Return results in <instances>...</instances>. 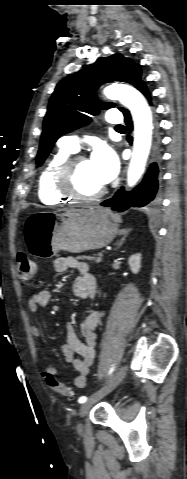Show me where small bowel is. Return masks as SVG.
Listing matches in <instances>:
<instances>
[{
  "label": "small bowel",
  "mask_w": 187,
  "mask_h": 479,
  "mask_svg": "<svg viewBox=\"0 0 187 479\" xmlns=\"http://www.w3.org/2000/svg\"><path fill=\"white\" fill-rule=\"evenodd\" d=\"M54 268L57 272L76 270L78 276L73 286L75 296L82 300L93 298L97 286L96 278L90 272V267L86 262L73 257H59L54 260ZM51 297L49 290L36 292L29 300V310L33 313L38 312L49 304ZM103 317V310H94L89 313L80 326L84 341L79 338L73 324L67 323L66 342L61 345V352L65 361L76 371L74 384L77 388H85L87 385L88 375L96 356V329ZM31 334L35 338L41 336V328L38 324L31 326ZM75 355H79V358H75ZM47 374L57 377V369L52 364L46 363L42 375L45 377Z\"/></svg>",
  "instance_id": "c3829d8e"
}]
</instances>
